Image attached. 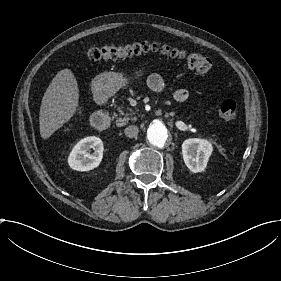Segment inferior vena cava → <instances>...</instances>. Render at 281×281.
<instances>
[{
	"mask_svg": "<svg viewBox=\"0 0 281 281\" xmlns=\"http://www.w3.org/2000/svg\"><path fill=\"white\" fill-rule=\"evenodd\" d=\"M138 127L135 126V125H131V126H128L127 128H125L124 132H125V135L129 138H134L138 135Z\"/></svg>",
	"mask_w": 281,
	"mask_h": 281,
	"instance_id": "obj_1",
	"label": "inferior vena cava"
}]
</instances>
